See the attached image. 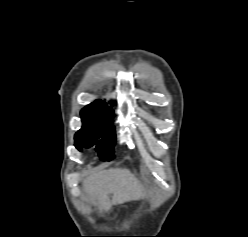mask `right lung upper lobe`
I'll return each instance as SVG.
<instances>
[{"instance_id":"cb5924a9","label":"right lung upper lobe","mask_w":248,"mask_h":237,"mask_svg":"<svg viewBox=\"0 0 248 237\" xmlns=\"http://www.w3.org/2000/svg\"><path fill=\"white\" fill-rule=\"evenodd\" d=\"M81 115L111 119L113 117V110L106 105V102L96 100L84 107L81 111Z\"/></svg>"}]
</instances>
